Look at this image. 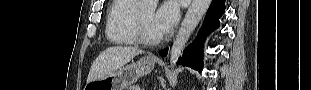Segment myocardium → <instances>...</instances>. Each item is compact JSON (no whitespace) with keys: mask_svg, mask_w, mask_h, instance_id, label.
<instances>
[{"mask_svg":"<svg viewBox=\"0 0 311 90\" xmlns=\"http://www.w3.org/2000/svg\"><path fill=\"white\" fill-rule=\"evenodd\" d=\"M134 27H135V34L137 37V41L141 44L152 46V45L159 44L163 39V36H159L156 38L150 37L146 33V30L143 26L140 15L137 13H136L135 19H134Z\"/></svg>","mask_w":311,"mask_h":90,"instance_id":"myocardium-1","label":"myocardium"}]
</instances>
